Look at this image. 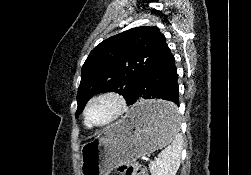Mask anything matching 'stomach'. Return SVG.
<instances>
[{
	"instance_id": "obj_1",
	"label": "stomach",
	"mask_w": 251,
	"mask_h": 175,
	"mask_svg": "<svg viewBox=\"0 0 251 175\" xmlns=\"http://www.w3.org/2000/svg\"><path fill=\"white\" fill-rule=\"evenodd\" d=\"M173 100H139L129 113L103 129L101 135L81 147V175H108L114 167L171 143L181 134Z\"/></svg>"
}]
</instances>
